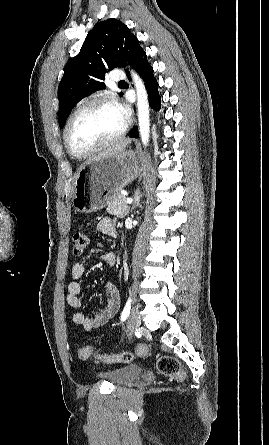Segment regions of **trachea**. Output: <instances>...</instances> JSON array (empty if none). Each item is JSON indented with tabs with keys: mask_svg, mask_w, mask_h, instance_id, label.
Instances as JSON below:
<instances>
[{
	"mask_svg": "<svg viewBox=\"0 0 269 445\" xmlns=\"http://www.w3.org/2000/svg\"><path fill=\"white\" fill-rule=\"evenodd\" d=\"M121 83H125V81H120L119 84H121Z\"/></svg>",
	"mask_w": 269,
	"mask_h": 445,
	"instance_id": "3493384b",
	"label": "trachea"
}]
</instances>
